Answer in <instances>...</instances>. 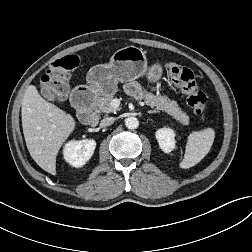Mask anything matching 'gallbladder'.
Here are the masks:
<instances>
[{
  "label": "gallbladder",
  "mask_w": 252,
  "mask_h": 252,
  "mask_svg": "<svg viewBox=\"0 0 252 252\" xmlns=\"http://www.w3.org/2000/svg\"><path fill=\"white\" fill-rule=\"evenodd\" d=\"M41 94L43 97H45L49 101L55 100V95L51 92V90L47 86L41 87Z\"/></svg>",
  "instance_id": "gallbladder-1"
}]
</instances>
